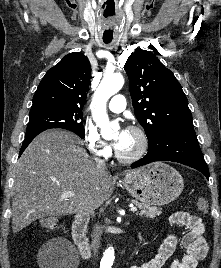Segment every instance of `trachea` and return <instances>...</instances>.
Instances as JSON below:
<instances>
[{"label":"trachea","instance_id":"obj_1","mask_svg":"<svg viewBox=\"0 0 221 268\" xmlns=\"http://www.w3.org/2000/svg\"><path fill=\"white\" fill-rule=\"evenodd\" d=\"M112 40H104L105 43H110Z\"/></svg>","mask_w":221,"mask_h":268}]
</instances>
